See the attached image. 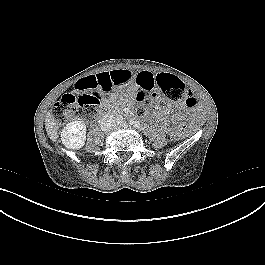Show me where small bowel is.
<instances>
[{
  "label": "small bowel",
  "instance_id": "c3829d8e",
  "mask_svg": "<svg viewBox=\"0 0 265 265\" xmlns=\"http://www.w3.org/2000/svg\"><path fill=\"white\" fill-rule=\"evenodd\" d=\"M157 74L144 71L135 77L130 71L127 70H114L110 72H103L96 76H104L113 84V87H126L130 94H135L138 88L143 89H156L154 79ZM173 108L184 109L183 103H179L175 106L167 104L159 109L153 111V117H162L168 114Z\"/></svg>",
  "mask_w": 265,
  "mask_h": 265
}]
</instances>
